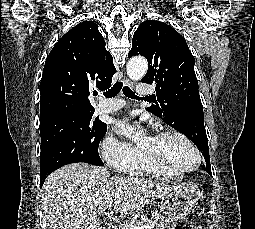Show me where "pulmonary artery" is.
<instances>
[{
	"mask_svg": "<svg viewBox=\"0 0 255 229\" xmlns=\"http://www.w3.org/2000/svg\"><path fill=\"white\" fill-rule=\"evenodd\" d=\"M154 92V87L152 85L141 84L137 88V93L141 96H148ZM125 103L120 99H110L106 102H103L97 107L98 113H112L118 111L124 107Z\"/></svg>",
	"mask_w": 255,
	"mask_h": 229,
	"instance_id": "e3ab8cb5",
	"label": "pulmonary artery"
}]
</instances>
